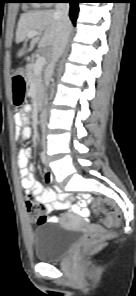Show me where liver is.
Masks as SVG:
<instances>
[{
  "mask_svg": "<svg viewBox=\"0 0 136 296\" xmlns=\"http://www.w3.org/2000/svg\"><path fill=\"white\" fill-rule=\"evenodd\" d=\"M60 26V20L52 9L22 14L16 30V42L24 41L30 31H38L39 36L32 38L29 48L20 49L17 56L21 57L26 51L32 50L36 43L39 47H53L57 41Z\"/></svg>",
  "mask_w": 136,
  "mask_h": 296,
  "instance_id": "obj_1",
  "label": "liver"
}]
</instances>
